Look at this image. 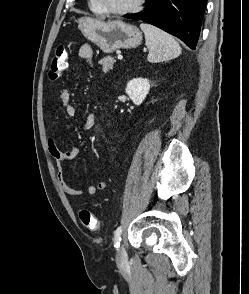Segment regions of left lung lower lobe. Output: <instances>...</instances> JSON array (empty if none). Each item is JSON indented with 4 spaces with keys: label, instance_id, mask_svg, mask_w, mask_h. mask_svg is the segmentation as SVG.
<instances>
[{
    "label": "left lung lower lobe",
    "instance_id": "left-lung-lower-lobe-1",
    "mask_svg": "<svg viewBox=\"0 0 249 294\" xmlns=\"http://www.w3.org/2000/svg\"><path fill=\"white\" fill-rule=\"evenodd\" d=\"M206 3L207 0H147L143 11L124 17L155 25L195 49Z\"/></svg>",
    "mask_w": 249,
    "mask_h": 294
}]
</instances>
